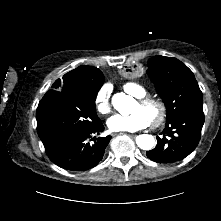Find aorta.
Returning <instances> with one entry per match:
<instances>
[{
	"label": "aorta",
	"mask_w": 221,
	"mask_h": 221,
	"mask_svg": "<svg viewBox=\"0 0 221 221\" xmlns=\"http://www.w3.org/2000/svg\"><path fill=\"white\" fill-rule=\"evenodd\" d=\"M133 98L125 93H116L112 98L113 107L121 114L126 113L132 104ZM155 139L152 135L142 134L137 136L136 144L140 149L151 150L154 147Z\"/></svg>",
	"instance_id": "762f6f07"
}]
</instances>
